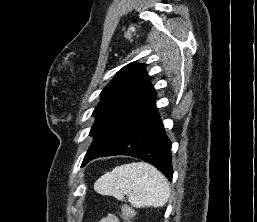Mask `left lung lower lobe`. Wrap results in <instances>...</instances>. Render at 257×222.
<instances>
[{
    "label": "left lung lower lobe",
    "instance_id": "obj_1",
    "mask_svg": "<svg viewBox=\"0 0 257 222\" xmlns=\"http://www.w3.org/2000/svg\"><path fill=\"white\" fill-rule=\"evenodd\" d=\"M155 101L142 113L129 121L103 148L83 160L104 156L127 155L142 159L159 169L172 180L171 142L157 112Z\"/></svg>",
    "mask_w": 257,
    "mask_h": 222
}]
</instances>
